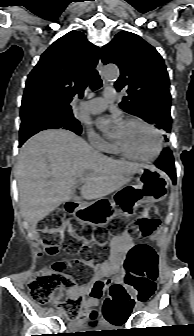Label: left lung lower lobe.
<instances>
[{"mask_svg": "<svg viewBox=\"0 0 194 336\" xmlns=\"http://www.w3.org/2000/svg\"><path fill=\"white\" fill-rule=\"evenodd\" d=\"M156 166L161 170L165 171L175 184L176 171L174 166V159L172 152L169 149H164V151L161 154V159L159 160Z\"/></svg>", "mask_w": 194, "mask_h": 336, "instance_id": "obj_1", "label": "left lung lower lobe"}]
</instances>
